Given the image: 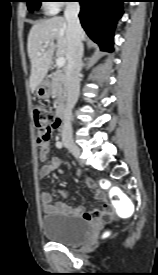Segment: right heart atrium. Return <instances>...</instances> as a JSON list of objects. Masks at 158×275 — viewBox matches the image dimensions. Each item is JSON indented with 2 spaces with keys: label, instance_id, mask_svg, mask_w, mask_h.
<instances>
[{
  "label": "right heart atrium",
  "instance_id": "1",
  "mask_svg": "<svg viewBox=\"0 0 158 275\" xmlns=\"http://www.w3.org/2000/svg\"><path fill=\"white\" fill-rule=\"evenodd\" d=\"M52 2L54 3L49 4V10L53 12L61 7L63 5V2H66V0H54Z\"/></svg>",
  "mask_w": 158,
  "mask_h": 275
}]
</instances>
